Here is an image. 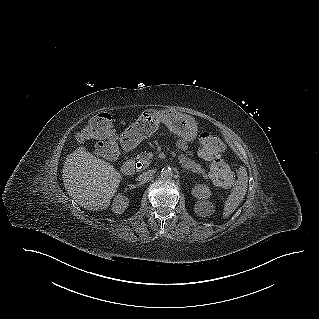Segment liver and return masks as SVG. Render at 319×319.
<instances>
[{
  "label": "liver",
  "instance_id": "obj_1",
  "mask_svg": "<svg viewBox=\"0 0 319 319\" xmlns=\"http://www.w3.org/2000/svg\"><path fill=\"white\" fill-rule=\"evenodd\" d=\"M122 175L111 164L81 146L64 162L63 182L69 196L88 210L107 208Z\"/></svg>",
  "mask_w": 319,
  "mask_h": 319
}]
</instances>
